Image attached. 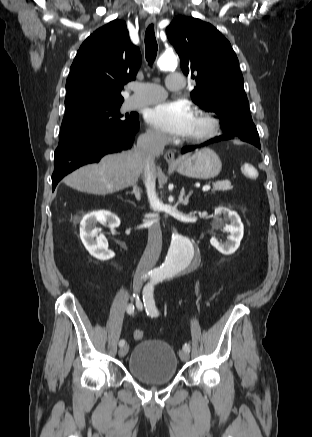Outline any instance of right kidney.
Returning a JSON list of instances; mask_svg holds the SVG:
<instances>
[{
    "label": "right kidney",
    "mask_w": 312,
    "mask_h": 437,
    "mask_svg": "<svg viewBox=\"0 0 312 437\" xmlns=\"http://www.w3.org/2000/svg\"><path fill=\"white\" fill-rule=\"evenodd\" d=\"M97 222L108 223L109 228L120 225V219L110 211L100 210L85 215L80 223V238L90 255L99 260L113 257L106 238L96 228Z\"/></svg>",
    "instance_id": "right-kidney-1"
}]
</instances>
